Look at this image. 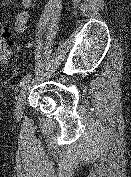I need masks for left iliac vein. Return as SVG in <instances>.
<instances>
[{
	"label": "left iliac vein",
	"mask_w": 131,
	"mask_h": 177,
	"mask_svg": "<svg viewBox=\"0 0 131 177\" xmlns=\"http://www.w3.org/2000/svg\"><path fill=\"white\" fill-rule=\"evenodd\" d=\"M29 88H30V83L28 82L25 85H23L21 91L18 94V98L15 106V115L17 117H20L22 115L24 100L26 98L27 91Z\"/></svg>",
	"instance_id": "4c4485c4"
}]
</instances>
